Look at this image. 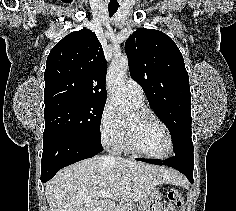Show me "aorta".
<instances>
[{"label":"aorta","instance_id":"aorta-1","mask_svg":"<svg viewBox=\"0 0 236 211\" xmlns=\"http://www.w3.org/2000/svg\"><path fill=\"white\" fill-rule=\"evenodd\" d=\"M129 66L126 56L113 59L107 77L109 97L119 113H126L131 108V103L126 99L124 78Z\"/></svg>","mask_w":236,"mask_h":211}]
</instances>
